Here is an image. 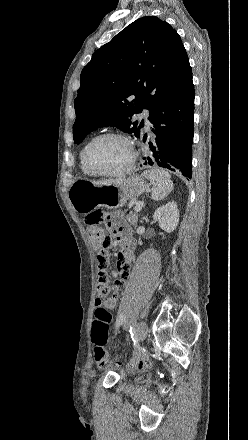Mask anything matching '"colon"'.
<instances>
[{
    "label": "colon",
    "instance_id": "obj_1",
    "mask_svg": "<svg viewBox=\"0 0 248 440\" xmlns=\"http://www.w3.org/2000/svg\"><path fill=\"white\" fill-rule=\"evenodd\" d=\"M103 221L104 213L101 210H94L86 216V222L89 225V234L97 249L98 259L99 257H109V252L115 245L113 237L107 234L101 227ZM117 257H119V255ZM94 317L92 337L95 344V360L97 363L103 365L107 361V352L104 345L108 341L112 315L102 304L96 303Z\"/></svg>",
    "mask_w": 248,
    "mask_h": 440
}]
</instances>
